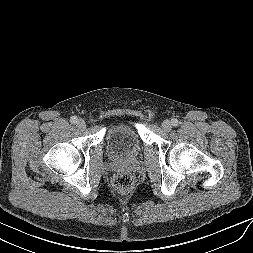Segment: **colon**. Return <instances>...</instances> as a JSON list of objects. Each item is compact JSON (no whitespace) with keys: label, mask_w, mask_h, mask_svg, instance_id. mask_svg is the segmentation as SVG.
Here are the masks:
<instances>
[{"label":"colon","mask_w":253,"mask_h":253,"mask_svg":"<svg viewBox=\"0 0 253 253\" xmlns=\"http://www.w3.org/2000/svg\"><path fill=\"white\" fill-rule=\"evenodd\" d=\"M134 180L129 174H119L114 179V186L122 192L129 191L133 187Z\"/></svg>","instance_id":"colon-1"}]
</instances>
